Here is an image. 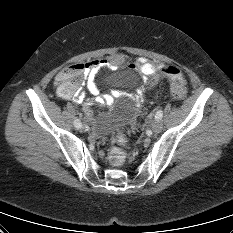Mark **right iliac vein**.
<instances>
[{
    "instance_id": "obj_1",
    "label": "right iliac vein",
    "mask_w": 233,
    "mask_h": 233,
    "mask_svg": "<svg viewBox=\"0 0 233 233\" xmlns=\"http://www.w3.org/2000/svg\"><path fill=\"white\" fill-rule=\"evenodd\" d=\"M79 132L80 133H86L87 132V127L86 126H80L79 127Z\"/></svg>"
}]
</instances>
